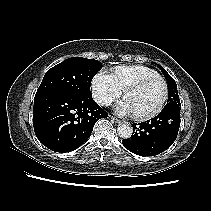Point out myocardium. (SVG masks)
Wrapping results in <instances>:
<instances>
[{
    "instance_id": "1",
    "label": "myocardium",
    "mask_w": 211,
    "mask_h": 211,
    "mask_svg": "<svg viewBox=\"0 0 211 211\" xmlns=\"http://www.w3.org/2000/svg\"><path fill=\"white\" fill-rule=\"evenodd\" d=\"M155 81H160L163 84V86H164L163 99H162L161 103L159 104V106L154 111H152V112H150L148 114H145V115L133 114L134 118L136 120H138V121L150 120V119L156 117L157 115H159L163 111V109H164V107H165V105H166V103L168 101V98H169V86H168V83L161 76L147 77V78H144V79H141V80L135 82L134 84L128 86L124 90L123 96L125 98L128 93L140 90L143 87H145L146 85H148V84H150L152 82H155Z\"/></svg>"
}]
</instances>
